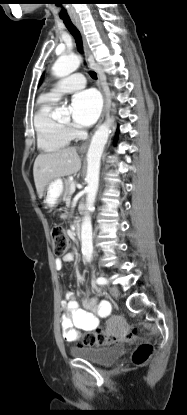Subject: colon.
<instances>
[{"instance_id":"1","label":"colon","mask_w":187,"mask_h":415,"mask_svg":"<svg viewBox=\"0 0 187 415\" xmlns=\"http://www.w3.org/2000/svg\"><path fill=\"white\" fill-rule=\"evenodd\" d=\"M51 237L53 241V252L56 256H61L66 253L70 246V239L60 225H54L51 228ZM139 330L135 327L126 328L123 324L116 321L109 330L97 331L92 334H87L83 343L90 346H104L112 344L121 339H132L136 337ZM154 351V347L150 342H144L138 345L135 349L132 359L137 365H142L148 361Z\"/></svg>"}]
</instances>
